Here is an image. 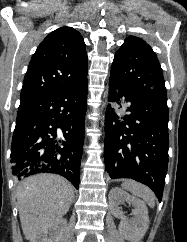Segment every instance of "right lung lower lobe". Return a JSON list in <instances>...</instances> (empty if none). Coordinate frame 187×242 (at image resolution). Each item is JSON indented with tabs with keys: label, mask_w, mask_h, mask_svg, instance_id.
<instances>
[{
	"label": "right lung lower lobe",
	"mask_w": 187,
	"mask_h": 242,
	"mask_svg": "<svg viewBox=\"0 0 187 242\" xmlns=\"http://www.w3.org/2000/svg\"><path fill=\"white\" fill-rule=\"evenodd\" d=\"M86 101L87 79L20 102L11 146L12 173L18 180L55 173L78 189Z\"/></svg>",
	"instance_id": "right-lung-lower-lobe-1"
}]
</instances>
